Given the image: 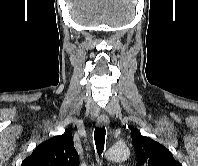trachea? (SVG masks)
Wrapping results in <instances>:
<instances>
[{
	"mask_svg": "<svg viewBox=\"0 0 198 166\" xmlns=\"http://www.w3.org/2000/svg\"><path fill=\"white\" fill-rule=\"evenodd\" d=\"M105 135H106V130L104 126L101 128H96L94 131V140H95L97 153L99 154V156L102 154L104 150Z\"/></svg>",
	"mask_w": 198,
	"mask_h": 166,
	"instance_id": "3493384b",
	"label": "trachea"
}]
</instances>
